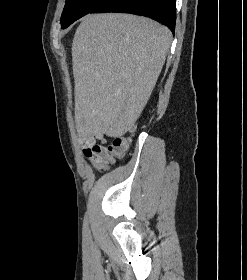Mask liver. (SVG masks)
Here are the masks:
<instances>
[{
    "instance_id": "liver-1",
    "label": "liver",
    "mask_w": 247,
    "mask_h": 280,
    "mask_svg": "<svg viewBox=\"0 0 247 280\" xmlns=\"http://www.w3.org/2000/svg\"><path fill=\"white\" fill-rule=\"evenodd\" d=\"M172 40L145 17L85 16L72 43L75 122L81 135L123 136L137 121L156 84Z\"/></svg>"
}]
</instances>
